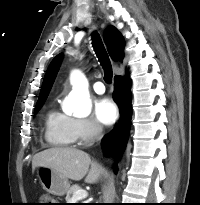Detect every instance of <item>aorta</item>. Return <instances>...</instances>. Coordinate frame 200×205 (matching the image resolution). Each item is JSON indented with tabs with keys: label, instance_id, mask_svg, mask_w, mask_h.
Returning a JSON list of instances; mask_svg holds the SVG:
<instances>
[{
	"label": "aorta",
	"instance_id": "obj_1",
	"mask_svg": "<svg viewBox=\"0 0 200 205\" xmlns=\"http://www.w3.org/2000/svg\"><path fill=\"white\" fill-rule=\"evenodd\" d=\"M71 83L73 85L71 110L77 117H86L91 112L88 81L83 73L74 71L71 76Z\"/></svg>",
	"mask_w": 200,
	"mask_h": 205
}]
</instances>
